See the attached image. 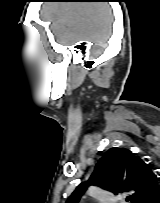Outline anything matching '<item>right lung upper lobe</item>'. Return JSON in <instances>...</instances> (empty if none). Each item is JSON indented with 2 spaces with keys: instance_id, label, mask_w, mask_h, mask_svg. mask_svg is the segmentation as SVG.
Instances as JSON below:
<instances>
[{
  "instance_id": "cb5924a9",
  "label": "right lung upper lobe",
  "mask_w": 160,
  "mask_h": 203,
  "mask_svg": "<svg viewBox=\"0 0 160 203\" xmlns=\"http://www.w3.org/2000/svg\"><path fill=\"white\" fill-rule=\"evenodd\" d=\"M89 185L114 194L128 193L131 203H147L160 192V178L145 161L128 149H109L95 166L91 178L81 183L66 203H78Z\"/></svg>"
}]
</instances>
